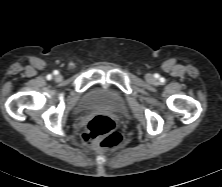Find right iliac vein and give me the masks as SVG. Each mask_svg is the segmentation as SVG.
Instances as JSON below:
<instances>
[{"label": "right iliac vein", "instance_id": "obj_1", "mask_svg": "<svg viewBox=\"0 0 222 187\" xmlns=\"http://www.w3.org/2000/svg\"><path fill=\"white\" fill-rule=\"evenodd\" d=\"M56 80H57V81H61V80H62V76H61V75H57V76H56Z\"/></svg>", "mask_w": 222, "mask_h": 187}]
</instances>
